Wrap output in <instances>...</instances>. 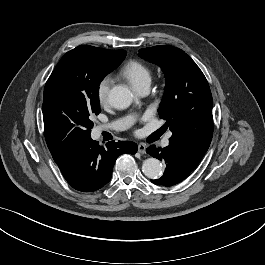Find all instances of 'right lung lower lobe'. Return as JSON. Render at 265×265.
<instances>
[{
	"mask_svg": "<svg viewBox=\"0 0 265 265\" xmlns=\"http://www.w3.org/2000/svg\"><path fill=\"white\" fill-rule=\"evenodd\" d=\"M137 148L130 141H111L104 148L88 137L53 159L74 189L93 192L110 181L116 159L123 153L135 154Z\"/></svg>",
	"mask_w": 265,
	"mask_h": 265,
	"instance_id": "obj_1",
	"label": "right lung lower lobe"
}]
</instances>
